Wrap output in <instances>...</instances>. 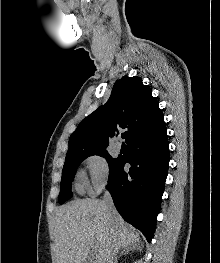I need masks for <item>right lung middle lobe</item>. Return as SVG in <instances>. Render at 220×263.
Segmentation results:
<instances>
[{"instance_id": "obj_1", "label": "right lung middle lobe", "mask_w": 220, "mask_h": 263, "mask_svg": "<svg viewBox=\"0 0 220 263\" xmlns=\"http://www.w3.org/2000/svg\"><path fill=\"white\" fill-rule=\"evenodd\" d=\"M99 155L104 157L109 163V168L113 166L116 159H113L106 149L89 151V152H72L66 155L65 164L62 170L61 190L58 197L60 204H63L72 197L71 183L75 176L76 170L80 163L87 157Z\"/></svg>"}]
</instances>
